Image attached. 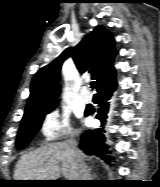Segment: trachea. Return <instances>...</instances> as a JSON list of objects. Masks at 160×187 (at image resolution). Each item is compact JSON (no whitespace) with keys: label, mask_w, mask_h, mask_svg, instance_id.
<instances>
[{"label":"trachea","mask_w":160,"mask_h":187,"mask_svg":"<svg viewBox=\"0 0 160 187\" xmlns=\"http://www.w3.org/2000/svg\"><path fill=\"white\" fill-rule=\"evenodd\" d=\"M95 87V82H91V88L93 89Z\"/></svg>","instance_id":"trachea-1"}]
</instances>
